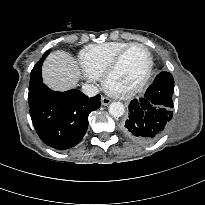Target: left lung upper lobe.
<instances>
[{"mask_svg": "<svg viewBox=\"0 0 205 205\" xmlns=\"http://www.w3.org/2000/svg\"><path fill=\"white\" fill-rule=\"evenodd\" d=\"M155 88H162L163 90L167 91L170 95V99L172 101V94L174 92V79L171 73L169 72H161L157 75L154 83L149 86V89L153 90ZM146 91V93H147Z\"/></svg>", "mask_w": 205, "mask_h": 205, "instance_id": "left-lung-upper-lobe-1", "label": "left lung upper lobe"}]
</instances>
